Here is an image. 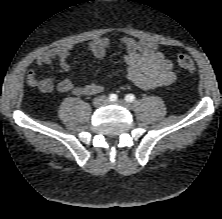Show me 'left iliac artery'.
<instances>
[{
	"instance_id": "left-iliac-artery-1",
	"label": "left iliac artery",
	"mask_w": 222,
	"mask_h": 219,
	"mask_svg": "<svg viewBox=\"0 0 222 219\" xmlns=\"http://www.w3.org/2000/svg\"><path fill=\"white\" fill-rule=\"evenodd\" d=\"M125 100L127 102H133L135 100V96L133 94H128L125 96Z\"/></svg>"
}]
</instances>
